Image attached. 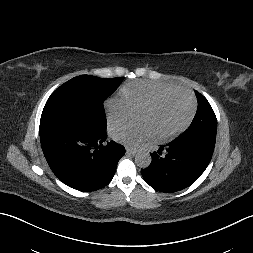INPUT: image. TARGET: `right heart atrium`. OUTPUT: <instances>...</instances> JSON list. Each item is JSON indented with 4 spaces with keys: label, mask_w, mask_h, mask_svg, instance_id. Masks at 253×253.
Masks as SVG:
<instances>
[{
    "label": "right heart atrium",
    "mask_w": 253,
    "mask_h": 253,
    "mask_svg": "<svg viewBox=\"0 0 253 253\" xmlns=\"http://www.w3.org/2000/svg\"><path fill=\"white\" fill-rule=\"evenodd\" d=\"M104 108L107 123L110 126L125 122L131 109L129 103L122 95L108 98L104 103Z\"/></svg>",
    "instance_id": "1"
}]
</instances>
